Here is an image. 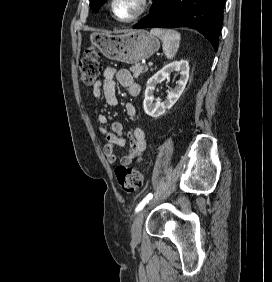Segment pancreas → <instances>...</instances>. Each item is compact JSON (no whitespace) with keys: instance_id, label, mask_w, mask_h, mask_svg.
<instances>
[{"instance_id":"1","label":"pancreas","mask_w":272,"mask_h":282,"mask_svg":"<svg viewBox=\"0 0 272 282\" xmlns=\"http://www.w3.org/2000/svg\"><path fill=\"white\" fill-rule=\"evenodd\" d=\"M130 71L133 73L134 78H138L141 74L147 71V67L142 64H135L130 68Z\"/></svg>"}]
</instances>
